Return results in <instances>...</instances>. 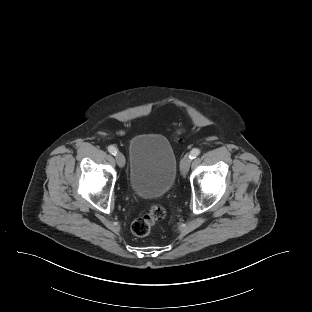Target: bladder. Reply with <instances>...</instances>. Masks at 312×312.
Instances as JSON below:
<instances>
[{
  "label": "bladder",
  "mask_w": 312,
  "mask_h": 312,
  "mask_svg": "<svg viewBox=\"0 0 312 312\" xmlns=\"http://www.w3.org/2000/svg\"><path fill=\"white\" fill-rule=\"evenodd\" d=\"M129 186L138 197L165 195L173 186L177 159L169 140L161 134H141L129 144Z\"/></svg>",
  "instance_id": "obj_1"
}]
</instances>
